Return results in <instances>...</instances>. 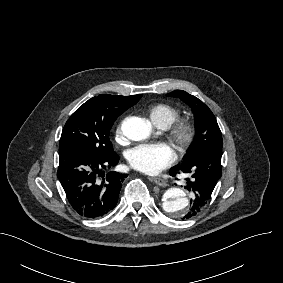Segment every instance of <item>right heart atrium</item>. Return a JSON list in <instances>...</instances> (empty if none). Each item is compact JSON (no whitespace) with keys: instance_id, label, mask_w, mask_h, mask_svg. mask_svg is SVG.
I'll use <instances>...</instances> for the list:
<instances>
[{"instance_id":"d8ad5b80","label":"right heart atrium","mask_w":283,"mask_h":283,"mask_svg":"<svg viewBox=\"0 0 283 283\" xmlns=\"http://www.w3.org/2000/svg\"><path fill=\"white\" fill-rule=\"evenodd\" d=\"M116 138L117 139H121L122 138V133H121L120 126H118L117 129H116Z\"/></svg>"}]
</instances>
